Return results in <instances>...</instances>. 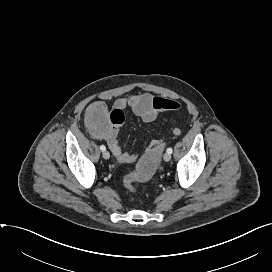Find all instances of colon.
<instances>
[{
    "label": "colon",
    "mask_w": 272,
    "mask_h": 272,
    "mask_svg": "<svg viewBox=\"0 0 272 272\" xmlns=\"http://www.w3.org/2000/svg\"><path fill=\"white\" fill-rule=\"evenodd\" d=\"M86 122L94 134H101L111 127H116L124 122V113L120 109L109 110L101 101L90 104L86 111ZM164 144H159L137 164L136 169L128 174L124 180V186L134 192L136 182L149 180L155 173Z\"/></svg>",
    "instance_id": "colon-1"
}]
</instances>
